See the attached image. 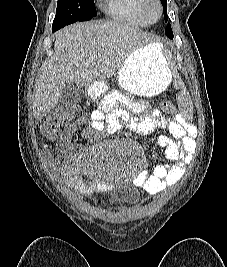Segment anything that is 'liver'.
<instances>
[{
	"instance_id": "obj_1",
	"label": "liver",
	"mask_w": 227,
	"mask_h": 267,
	"mask_svg": "<svg viewBox=\"0 0 227 267\" xmlns=\"http://www.w3.org/2000/svg\"><path fill=\"white\" fill-rule=\"evenodd\" d=\"M151 41L137 26L116 21L76 23L58 31L54 53L35 82L34 118L39 121L55 108L67 84L89 87L104 82L132 52Z\"/></svg>"
}]
</instances>
